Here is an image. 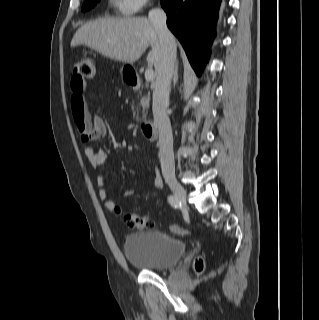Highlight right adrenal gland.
Here are the masks:
<instances>
[{
	"label": "right adrenal gland",
	"mask_w": 319,
	"mask_h": 320,
	"mask_svg": "<svg viewBox=\"0 0 319 320\" xmlns=\"http://www.w3.org/2000/svg\"><path fill=\"white\" fill-rule=\"evenodd\" d=\"M177 81H178V61H176V64H175V71L173 75V86L176 85Z\"/></svg>",
	"instance_id": "2a0ac1e0"
}]
</instances>
